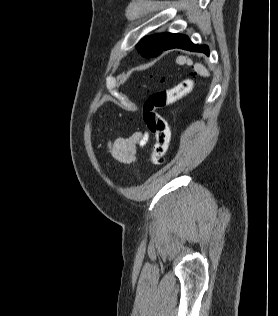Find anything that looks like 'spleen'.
<instances>
[{
  "label": "spleen",
  "instance_id": "spleen-1",
  "mask_svg": "<svg viewBox=\"0 0 278 316\" xmlns=\"http://www.w3.org/2000/svg\"><path fill=\"white\" fill-rule=\"evenodd\" d=\"M176 62L179 64V65H183V64H187V65H192V60L185 57V56H179L177 57L176 59ZM194 70L201 76H209V72L208 70L200 63H196L194 65Z\"/></svg>",
  "mask_w": 278,
  "mask_h": 316
}]
</instances>
